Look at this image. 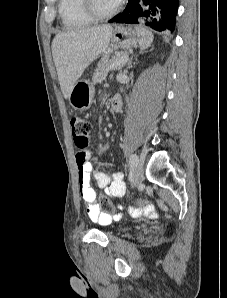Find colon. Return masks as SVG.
Masks as SVG:
<instances>
[{"label":"colon","instance_id":"colon-1","mask_svg":"<svg viewBox=\"0 0 227 298\" xmlns=\"http://www.w3.org/2000/svg\"><path fill=\"white\" fill-rule=\"evenodd\" d=\"M70 125L76 147L79 151H85L89 145V136L91 130L90 123L83 117L74 116L70 120ZM144 200L148 201L149 197L145 196ZM98 201L101 207L104 208L105 213H118L120 211L118 208H113L109 198L105 195H100ZM138 205L140 207H153V202L141 201L138 203ZM132 213L135 214L134 212Z\"/></svg>","mask_w":227,"mask_h":298}]
</instances>
